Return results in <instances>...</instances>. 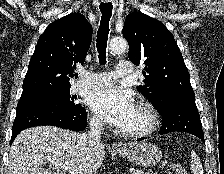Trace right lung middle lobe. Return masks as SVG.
<instances>
[{"label":"right lung middle lobe","instance_id":"1","mask_svg":"<svg viewBox=\"0 0 224 174\" xmlns=\"http://www.w3.org/2000/svg\"><path fill=\"white\" fill-rule=\"evenodd\" d=\"M71 86H47L39 90L22 94L19 101L41 99L58 105L59 107L70 109L79 106L70 96Z\"/></svg>","mask_w":224,"mask_h":174}]
</instances>
